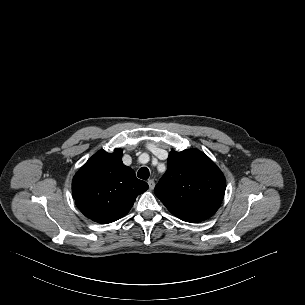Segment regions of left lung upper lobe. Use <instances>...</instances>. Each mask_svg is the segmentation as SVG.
<instances>
[{"mask_svg": "<svg viewBox=\"0 0 305 305\" xmlns=\"http://www.w3.org/2000/svg\"><path fill=\"white\" fill-rule=\"evenodd\" d=\"M226 181L221 170L203 152L171 151L168 167L154 192L166 208L186 222H200L219 208Z\"/></svg>", "mask_w": 305, "mask_h": 305, "instance_id": "left-lung-upper-lobe-1", "label": "left lung upper lobe"}]
</instances>
